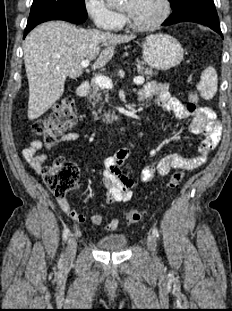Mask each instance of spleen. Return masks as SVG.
Instances as JSON below:
<instances>
[{
    "label": "spleen",
    "mask_w": 232,
    "mask_h": 311,
    "mask_svg": "<svg viewBox=\"0 0 232 311\" xmlns=\"http://www.w3.org/2000/svg\"><path fill=\"white\" fill-rule=\"evenodd\" d=\"M218 87V76L216 70L209 66L201 74V80L197 85L202 98L206 100L212 99Z\"/></svg>",
    "instance_id": "1"
}]
</instances>
